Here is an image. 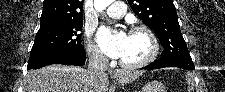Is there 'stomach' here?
<instances>
[{
	"label": "stomach",
	"instance_id": "stomach-1",
	"mask_svg": "<svg viewBox=\"0 0 225 92\" xmlns=\"http://www.w3.org/2000/svg\"><path fill=\"white\" fill-rule=\"evenodd\" d=\"M141 92H166L165 87L157 82V81H152L147 83L143 88Z\"/></svg>",
	"mask_w": 225,
	"mask_h": 92
}]
</instances>
